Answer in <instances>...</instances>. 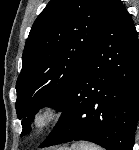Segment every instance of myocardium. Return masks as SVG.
<instances>
[{"label":"myocardium","instance_id":"myocardium-1","mask_svg":"<svg viewBox=\"0 0 139 150\" xmlns=\"http://www.w3.org/2000/svg\"><path fill=\"white\" fill-rule=\"evenodd\" d=\"M62 115L61 108L55 103L41 106L34 114L32 128L36 132H43L51 127Z\"/></svg>","mask_w":139,"mask_h":150}]
</instances>
